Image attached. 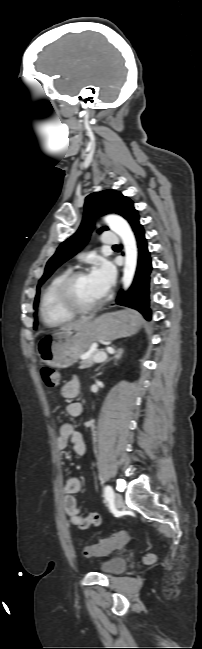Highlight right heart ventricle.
Returning <instances> with one entry per match:
<instances>
[{
    "mask_svg": "<svg viewBox=\"0 0 202 649\" xmlns=\"http://www.w3.org/2000/svg\"><path fill=\"white\" fill-rule=\"evenodd\" d=\"M70 274L66 269L56 274L45 286L40 303V313L43 321L51 327L71 321L75 314L67 310L61 303L58 290L63 280Z\"/></svg>",
    "mask_w": 202,
    "mask_h": 649,
    "instance_id": "1",
    "label": "right heart ventricle"
}]
</instances>
